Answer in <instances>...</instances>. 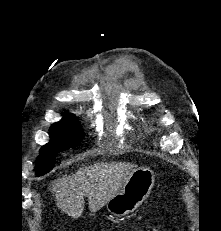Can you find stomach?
<instances>
[{"label": "stomach", "instance_id": "obj_1", "mask_svg": "<svg viewBox=\"0 0 221 231\" xmlns=\"http://www.w3.org/2000/svg\"><path fill=\"white\" fill-rule=\"evenodd\" d=\"M154 182V173L151 169H136L121 191L107 202V210L118 217L133 212L149 196Z\"/></svg>", "mask_w": 221, "mask_h": 231}]
</instances>
